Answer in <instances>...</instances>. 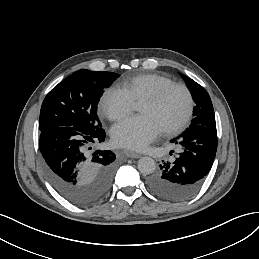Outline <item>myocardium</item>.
Masks as SVG:
<instances>
[{
  "instance_id": "obj_1",
  "label": "myocardium",
  "mask_w": 259,
  "mask_h": 259,
  "mask_svg": "<svg viewBox=\"0 0 259 259\" xmlns=\"http://www.w3.org/2000/svg\"><path fill=\"white\" fill-rule=\"evenodd\" d=\"M175 90H180L185 94L186 110L182 118L176 124L162 130V133L166 136H174L178 134L190 121L194 110V98L191 90L184 84L172 82L163 86L153 96L145 98L142 101V103H147L150 105H158Z\"/></svg>"
}]
</instances>
